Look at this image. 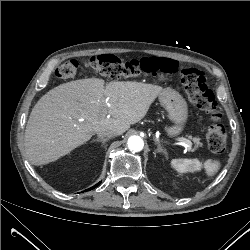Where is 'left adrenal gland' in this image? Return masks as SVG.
<instances>
[{"mask_svg":"<svg viewBox=\"0 0 250 250\" xmlns=\"http://www.w3.org/2000/svg\"><path fill=\"white\" fill-rule=\"evenodd\" d=\"M154 141H155V144L157 145V152H161V153H164L165 155H166V151L162 148V146H161V144H160V142L159 141H157L156 139H154Z\"/></svg>","mask_w":250,"mask_h":250,"instance_id":"obj_1","label":"left adrenal gland"}]
</instances>
